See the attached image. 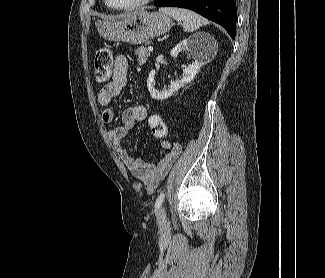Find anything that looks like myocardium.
I'll use <instances>...</instances> for the list:
<instances>
[{
    "label": "myocardium",
    "instance_id": "f54148a6",
    "mask_svg": "<svg viewBox=\"0 0 325 278\" xmlns=\"http://www.w3.org/2000/svg\"><path fill=\"white\" fill-rule=\"evenodd\" d=\"M104 1H105L106 5L113 10L127 11V10H134V9L143 7V6L147 5L148 3H150L152 0H139L135 3L124 5V6H114V5L110 4L109 0H104Z\"/></svg>",
    "mask_w": 325,
    "mask_h": 278
}]
</instances>
